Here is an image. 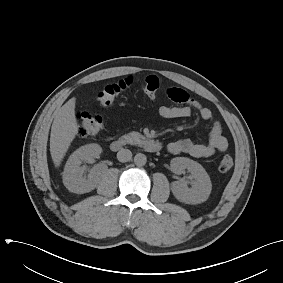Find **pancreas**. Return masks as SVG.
<instances>
[{
    "mask_svg": "<svg viewBox=\"0 0 283 283\" xmlns=\"http://www.w3.org/2000/svg\"><path fill=\"white\" fill-rule=\"evenodd\" d=\"M144 137L138 133V132H131L128 134L123 135L120 138V141L123 144H136L137 142H139L140 139H143Z\"/></svg>",
    "mask_w": 283,
    "mask_h": 283,
    "instance_id": "obj_1",
    "label": "pancreas"
}]
</instances>
